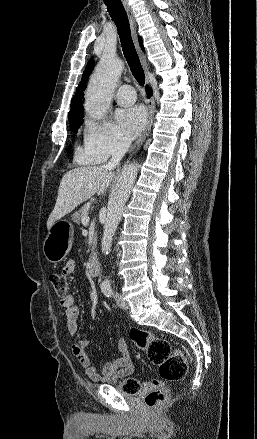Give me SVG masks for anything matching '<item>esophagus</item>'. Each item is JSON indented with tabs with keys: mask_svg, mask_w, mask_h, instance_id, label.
I'll use <instances>...</instances> for the list:
<instances>
[{
	"mask_svg": "<svg viewBox=\"0 0 257 439\" xmlns=\"http://www.w3.org/2000/svg\"><path fill=\"white\" fill-rule=\"evenodd\" d=\"M121 2L123 4L124 9L126 11V14L128 16L133 41H134L135 46L139 52L140 59L142 61L144 69H145L146 73H148L149 67H148L147 59H146L145 54L140 50L139 43H138V37H137V32H136V22H135L134 14H133L132 9L130 8L127 0H121ZM147 83H149L148 78H147ZM148 109H149V114H148V122H147L146 129L142 133V135L135 141V143L132 145V147L130 148V150H129L130 154L134 153L135 151H137L140 148V146L145 141V139L147 138V136L151 130V126H152V122H153V115H154V111H155V101H154L153 97L149 98V100H148Z\"/></svg>",
	"mask_w": 257,
	"mask_h": 439,
	"instance_id": "1",
	"label": "esophagus"
}]
</instances>
